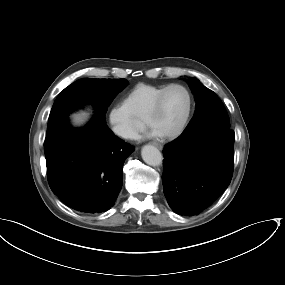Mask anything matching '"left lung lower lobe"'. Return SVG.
I'll use <instances>...</instances> for the list:
<instances>
[{
	"mask_svg": "<svg viewBox=\"0 0 285 285\" xmlns=\"http://www.w3.org/2000/svg\"><path fill=\"white\" fill-rule=\"evenodd\" d=\"M234 131L204 125L165 145L164 194L179 215H197L228 187L233 174Z\"/></svg>",
	"mask_w": 285,
	"mask_h": 285,
	"instance_id": "1",
	"label": "left lung lower lobe"
}]
</instances>
